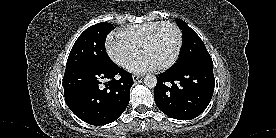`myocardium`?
Here are the masks:
<instances>
[{
    "label": "myocardium",
    "instance_id": "myocardium-1",
    "mask_svg": "<svg viewBox=\"0 0 276 138\" xmlns=\"http://www.w3.org/2000/svg\"><path fill=\"white\" fill-rule=\"evenodd\" d=\"M166 26H171L176 30L177 36H178V46L176 49V52L174 54V56L172 57V59L170 61H168L167 63H165L164 65L160 66L159 68L161 70H166L168 68H170L171 66H173L176 61L178 60L182 47H183V33L181 28L178 26V24H176L175 22L172 21H163L161 22L148 36V38L144 41V43L141 46V52L144 51V49L146 47H148L149 45H151L154 40L156 39L157 35L159 34V32L161 31L162 28L166 27Z\"/></svg>",
    "mask_w": 276,
    "mask_h": 138
}]
</instances>
